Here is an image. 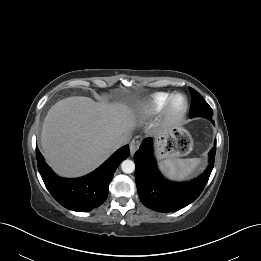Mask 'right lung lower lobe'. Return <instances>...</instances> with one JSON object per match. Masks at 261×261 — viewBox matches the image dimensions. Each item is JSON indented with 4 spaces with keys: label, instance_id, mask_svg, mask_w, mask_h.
I'll list each match as a JSON object with an SVG mask.
<instances>
[{
    "label": "right lung lower lobe",
    "instance_id": "98d812e1",
    "mask_svg": "<svg viewBox=\"0 0 261 261\" xmlns=\"http://www.w3.org/2000/svg\"><path fill=\"white\" fill-rule=\"evenodd\" d=\"M129 155V146H123L94 172L77 179H66L53 173L36 148L38 170L50 194L65 208L78 212L97 208L107 199L113 174Z\"/></svg>",
    "mask_w": 261,
    "mask_h": 261
}]
</instances>
